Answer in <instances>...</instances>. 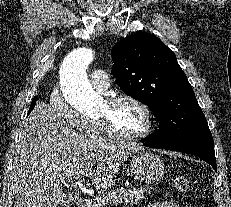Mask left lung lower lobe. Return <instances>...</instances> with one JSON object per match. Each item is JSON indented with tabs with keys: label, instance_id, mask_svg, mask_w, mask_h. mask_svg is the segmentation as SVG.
<instances>
[{
	"label": "left lung lower lobe",
	"instance_id": "left-lung-lower-lobe-1",
	"mask_svg": "<svg viewBox=\"0 0 231 207\" xmlns=\"http://www.w3.org/2000/svg\"><path fill=\"white\" fill-rule=\"evenodd\" d=\"M144 145L153 148H167L196 155L204 161L208 162L217 171L213 142H192L178 146L161 147L151 142L150 140H144Z\"/></svg>",
	"mask_w": 231,
	"mask_h": 207
}]
</instances>
